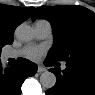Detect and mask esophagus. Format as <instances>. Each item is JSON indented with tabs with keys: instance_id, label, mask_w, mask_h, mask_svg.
<instances>
[{
	"instance_id": "esophagus-1",
	"label": "esophagus",
	"mask_w": 95,
	"mask_h": 95,
	"mask_svg": "<svg viewBox=\"0 0 95 95\" xmlns=\"http://www.w3.org/2000/svg\"><path fill=\"white\" fill-rule=\"evenodd\" d=\"M44 71H46V68L39 65V66H38V69H37V72H38V73H42V72H44Z\"/></svg>"
}]
</instances>
